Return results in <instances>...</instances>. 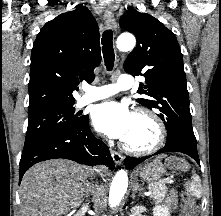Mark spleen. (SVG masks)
Segmentation results:
<instances>
[{
  "label": "spleen",
  "mask_w": 221,
  "mask_h": 216,
  "mask_svg": "<svg viewBox=\"0 0 221 216\" xmlns=\"http://www.w3.org/2000/svg\"><path fill=\"white\" fill-rule=\"evenodd\" d=\"M199 182H200L199 177L197 175H194L193 181L189 185V191H191V193L197 198L201 196Z\"/></svg>",
  "instance_id": "obj_1"
}]
</instances>
